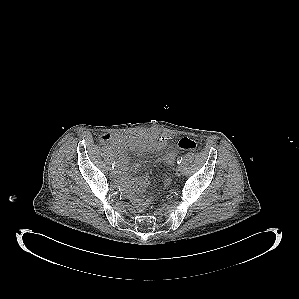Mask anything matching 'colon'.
<instances>
[{
  "label": "colon",
  "instance_id": "colon-1",
  "mask_svg": "<svg viewBox=\"0 0 299 299\" xmlns=\"http://www.w3.org/2000/svg\"><path fill=\"white\" fill-rule=\"evenodd\" d=\"M178 147L182 150H189V151H193L196 149L197 147V143L194 139L189 138V137H182L179 141H178ZM150 203L149 200H145L142 202V205L147 206Z\"/></svg>",
  "mask_w": 299,
  "mask_h": 299
}]
</instances>
